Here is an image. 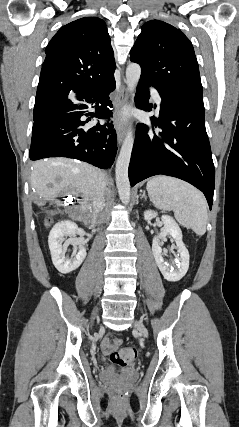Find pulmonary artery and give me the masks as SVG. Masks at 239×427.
<instances>
[{
    "label": "pulmonary artery",
    "instance_id": "1",
    "mask_svg": "<svg viewBox=\"0 0 239 427\" xmlns=\"http://www.w3.org/2000/svg\"><path fill=\"white\" fill-rule=\"evenodd\" d=\"M150 90H151V93H152L155 101L157 102L158 105H160L161 98H160L158 91L155 88H151Z\"/></svg>",
    "mask_w": 239,
    "mask_h": 427
}]
</instances>
